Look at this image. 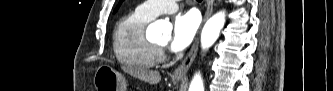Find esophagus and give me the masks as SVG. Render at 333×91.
Here are the masks:
<instances>
[{"mask_svg":"<svg viewBox=\"0 0 333 91\" xmlns=\"http://www.w3.org/2000/svg\"><path fill=\"white\" fill-rule=\"evenodd\" d=\"M213 3H214V0H206V11L204 14L202 25L211 16V14L213 12ZM198 45H199V38L197 37L195 39V42L192 45L189 53L187 54L186 58L184 59V61L175 69V71L173 73V76L175 78H181L186 75L188 69L190 68L191 64L193 63V61L197 55Z\"/></svg>","mask_w":333,"mask_h":91,"instance_id":"obj_1","label":"esophagus"}]
</instances>
